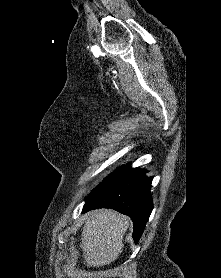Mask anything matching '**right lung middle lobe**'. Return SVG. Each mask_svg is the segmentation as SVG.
I'll return each instance as SVG.
<instances>
[{
	"label": "right lung middle lobe",
	"mask_w": 221,
	"mask_h": 278,
	"mask_svg": "<svg viewBox=\"0 0 221 278\" xmlns=\"http://www.w3.org/2000/svg\"><path fill=\"white\" fill-rule=\"evenodd\" d=\"M127 166H128V165H126V166H121V167L117 168L113 173H111L110 175H108V176L103 180V182L106 181L107 179H109L110 177H112L114 174H116L118 171H120L121 169H123V168H125V167H127Z\"/></svg>",
	"instance_id": "obj_1"
}]
</instances>
